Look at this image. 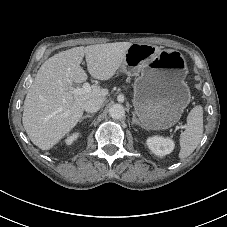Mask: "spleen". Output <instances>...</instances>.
Here are the masks:
<instances>
[{"instance_id": "spleen-1", "label": "spleen", "mask_w": 227, "mask_h": 227, "mask_svg": "<svg viewBox=\"0 0 227 227\" xmlns=\"http://www.w3.org/2000/svg\"><path fill=\"white\" fill-rule=\"evenodd\" d=\"M203 135V109L195 106L187 117L185 131L180 136L179 158L183 159L193 153L199 145Z\"/></svg>"}]
</instances>
